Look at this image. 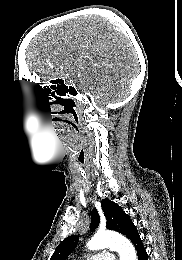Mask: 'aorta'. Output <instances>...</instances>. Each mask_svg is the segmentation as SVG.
<instances>
[{
  "instance_id": "aorta-1",
  "label": "aorta",
  "mask_w": 182,
  "mask_h": 260,
  "mask_svg": "<svg viewBox=\"0 0 182 260\" xmlns=\"http://www.w3.org/2000/svg\"><path fill=\"white\" fill-rule=\"evenodd\" d=\"M89 250L110 248L118 252L120 260H137L135 248L124 236L115 232H102L95 234L87 243Z\"/></svg>"
}]
</instances>
